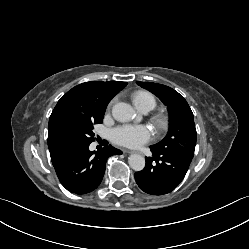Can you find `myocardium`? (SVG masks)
<instances>
[{
    "label": "myocardium",
    "instance_id": "1",
    "mask_svg": "<svg viewBox=\"0 0 249 249\" xmlns=\"http://www.w3.org/2000/svg\"><path fill=\"white\" fill-rule=\"evenodd\" d=\"M156 122L160 128H164L166 126V119L163 116L157 117Z\"/></svg>",
    "mask_w": 249,
    "mask_h": 249
}]
</instances>
